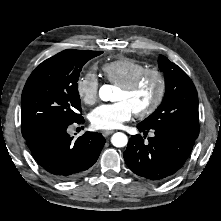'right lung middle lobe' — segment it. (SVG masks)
Instances as JSON below:
<instances>
[{
    "label": "right lung middle lobe",
    "mask_w": 221,
    "mask_h": 221,
    "mask_svg": "<svg viewBox=\"0 0 221 221\" xmlns=\"http://www.w3.org/2000/svg\"><path fill=\"white\" fill-rule=\"evenodd\" d=\"M102 51L64 50L42 62L22 92V135L27 138L54 125L71 124L82 116L78 78L82 67Z\"/></svg>",
    "instance_id": "obj_1"
}]
</instances>
